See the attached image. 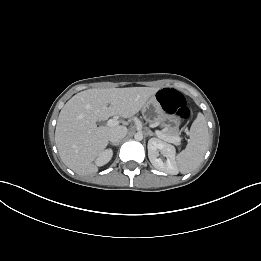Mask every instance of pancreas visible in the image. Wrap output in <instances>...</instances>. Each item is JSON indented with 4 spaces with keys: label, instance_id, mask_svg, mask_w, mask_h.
<instances>
[{
    "label": "pancreas",
    "instance_id": "pancreas-1",
    "mask_svg": "<svg viewBox=\"0 0 261 261\" xmlns=\"http://www.w3.org/2000/svg\"><path fill=\"white\" fill-rule=\"evenodd\" d=\"M163 134H165L168 137H176L179 140L175 142L174 144L178 145L180 144V137L177 128L174 127H167L165 130H163Z\"/></svg>",
    "mask_w": 261,
    "mask_h": 261
}]
</instances>
